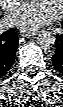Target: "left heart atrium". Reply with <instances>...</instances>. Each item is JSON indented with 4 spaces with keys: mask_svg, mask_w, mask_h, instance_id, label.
Here are the masks:
<instances>
[{
    "mask_svg": "<svg viewBox=\"0 0 63 107\" xmlns=\"http://www.w3.org/2000/svg\"><path fill=\"white\" fill-rule=\"evenodd\" d=\"M48 20L49 15L46 12L31 5L22 6L9 16V21L12 24L21 26L25 29H35Z\"/></svg>",
    "mask_w": 63,
    "mask_h": 107,
    "instance_id": "1",
    "label": "left heart atrium"
}]
</instances>
